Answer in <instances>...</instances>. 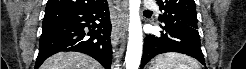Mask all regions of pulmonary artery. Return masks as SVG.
Returning a JSON list of instances; mask_svg holds the SVG:
<instances>
[{"mask_svg": "<svg viewBox=\"0 0 246 69\" xmlns=\"http://www.w3.org/2000/svg\"><path fill=\"white\" fill-rule=\"evenodd\" d=\"M145 5L148 8H153L155 6V3L154 2H146Z\"/></svg>", "mask_w": 246, "mask_h": 69, "instance_id": "e3ab8cb5", "label": "pulmonary artery"}]
</instances>
